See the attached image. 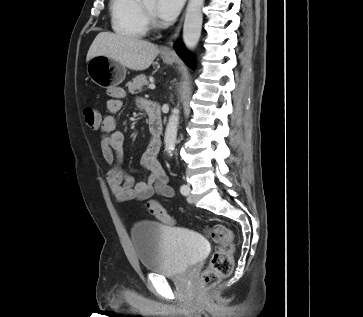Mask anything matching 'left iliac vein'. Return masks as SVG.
<instances>
[{
  "label": "left iliac vein",
  "instance_id": "left-iliac-vein-1",
  "mask_svg": "<svg viewBox=\"0 0 363 317\" xmlns=\"http://www.w3.org/2000/svg\"><path fill=\"white\" fill-rule=\"evenodd\" d=\"M187 186V188H188V202L189 203H192L193 202V198H192V196H191V188H190V186L189 185H186Z\"/></svg>",
  "mask_w": 363,
  "mask_h": 317
}]
</instances>
